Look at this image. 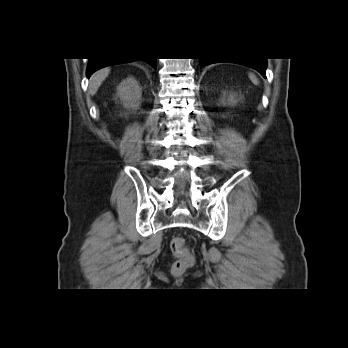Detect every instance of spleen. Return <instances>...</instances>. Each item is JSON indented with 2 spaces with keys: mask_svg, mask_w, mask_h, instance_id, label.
<instances>
[{
  "mask_svg": "<svg viewBox=\"0 0 348 348\" xmlns=\"http://www.w3.org/2000/svg\"><path fill=\"white\" fill-rule=\"evenodd\" d=\"M249 78L252 81V83L254 85H258L259 84V80L257 78V76L254 73H249Z\"/></svg>",
  "mask_w": 348,
  "mask_h": 348,
  "instance_id": "1",
  "label": "spleen"
}]
</instances>
